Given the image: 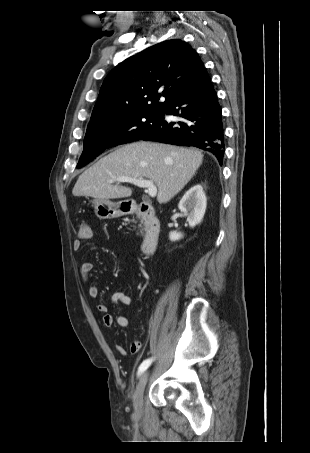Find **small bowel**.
I'll return each instance as SVG.
<instances>
[{
	"mask_svg": "<svg viewBox=\"0 0 310 453\" xmlns=\"http://www.w3.org/2000/svg\"><path fill=\"white\" fill-rule=\"evenodd\" d=\"M89 238H91V236L88 238H82V239H89ZM82 239L74 240L73 249L75 251L81 250ZM92 269H93V263L91 261L86 260L80 264L79 271H80L82 280L84 282L88 281ZM87 291H88V295L91 298H97L99 295L98 287L94 284H89ZM110 300L116 309H118L119 306H121V305L128 306L132 303V298L129 295H127L126 293L121 292V291L113 292L111 294ZM96 308H97L98 312L102 314V323L105 327L109 328V327H112L114 324H117L120 327H127L129 325V320L127 317H125L123 315H119V314L113 315L112 313H110L107 304L100 302L97 304ZM114 348H115V351L121 356H125L127 354L126 349L122 345L116 344L114 346ZM141 348H142V343L139 340H135L132 342V344L130 346V351L132 354H137L140 352Z\"/></svg>",
	"mask_w": 310,
	"mask_h": 453,
	"instance_id": "1",
	"label": "small bowel"
}]
</instances>
